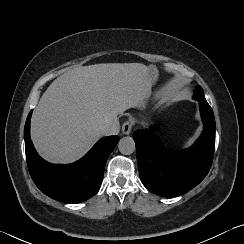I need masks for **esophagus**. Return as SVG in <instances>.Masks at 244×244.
<instances>
[{
    "mask_svg": "<svg viewBox=\"0 0 244 244\" xmlns=\"http://www.w3.org/2000/svg\"><path fill=\"white\" fill-rule=\"evenodd\" d=\"M133 123L131 121H126L124 122V124L122 125V132L125 135H128L131 132Z\"/></svg>",
    "mask_w": 244,
    "mask_h": 244,
    "instance_id": "esophagus-1",
    "label": "esophagus"
}]
</instances>
